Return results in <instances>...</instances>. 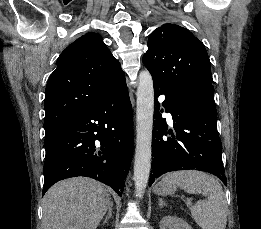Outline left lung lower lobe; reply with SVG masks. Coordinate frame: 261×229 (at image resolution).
I'll list each match as a JSON object with an SVG mask.
<instances>
[{
  "label": "left lung lower lobe",
  "instance_id": "1",
  "mask_svg": "<svg viewBox=\"0 0 261 229\" xmlns=\"http://www.w3.org/2000/svg\"><path fill=\"white\" fill-rule=\"evenodd\" d=\"M166 96L163 106L170 112L176 134L161 117L157 97ZM156 120L153 122L154 171L149 186L164 173L196 169L216 175L225 185L222 145L217 131L214 99L193 91L167 89L154 82ZM171 134V136H168Z\"/></svg>",
  "mask_w": 261,
  "mask_h": 229
}]
</instances>
